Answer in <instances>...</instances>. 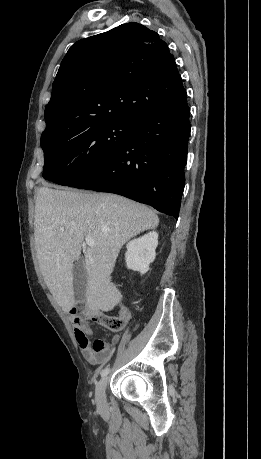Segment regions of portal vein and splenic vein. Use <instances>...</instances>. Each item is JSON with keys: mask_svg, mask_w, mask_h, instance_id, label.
<instances>
[{"mask_svg": "<svg viewBox=\"0 0 261 459\" xmlns=\"http://www.w3.org/2000/svg\"><path fill=\"white\" fill-rule=\"evenodd\" d=\"M85 243L89 246H92L94 244V240L89 234H87L85 237Z\"/></svg>", "mask_w": 261, "mask_h": 459, "instance_id": "obj_1", "label": "portal vein and splenic vein"}]
</instances>
